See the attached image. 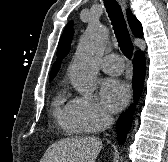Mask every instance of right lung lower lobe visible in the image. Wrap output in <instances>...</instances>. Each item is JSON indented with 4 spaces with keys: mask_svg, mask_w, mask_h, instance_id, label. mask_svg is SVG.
Here are the masks:
<instances>
[{
    "mask_svg": "<svg viewBox=\"0 0 168 162\" xmlns=\"http://www.w3.org/2000/svg\"><path fill=\"white\" fill-rule=\"evenodd\" d=\"M134 70H133V88H134V101L136 102L141 95L144 78L146 62L143 52L139 51L134 57ZM135 105H131L130 108L123 113L118 119L116 124L117 139L119 142L124 143L127 132L131 127L132 114L134 113Z\"/></svg>",
    "mask_w": 168,
    "mask_h": 162,
    "instance_id": "right-lung-lower-lobe-1",
    "label": "right lung lower lobe"
}]
</instances>
